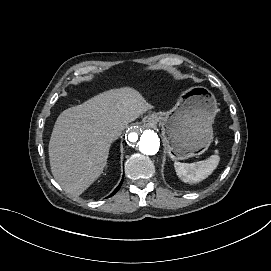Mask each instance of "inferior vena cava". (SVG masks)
I'll use <instances>...</instances> for the list:
<instances>
[{
  "instance_id": "602c4592",
  "label": "inferior vena cava",
  "mask_w": 271,
  "mask_h": 271,
  "mask_svg": "<svg viewBox=\"0 0 271 271\" xmlns=\"http://www.w3.org/2000/svg\"><path fill=\"white\" fill-rule=\"evenodd\" d=\"M121 135V132H117L116 134H113L111 137L114 139H117Z\"/></svg>"
}]
</instances>
